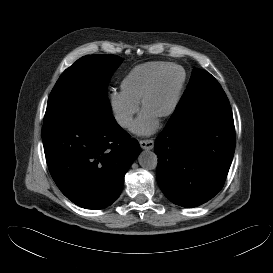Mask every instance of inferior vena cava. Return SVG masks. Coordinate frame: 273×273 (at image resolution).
I'll return each instance as SVG.
<instances>
[{"label":"inferior vena cava","instance_id":"inferior-vena-cava-1","mask_svg":"<svg viewBox=\"0 0 273 273\" xmlns=\"http://www.w3.org/2000/svg\"><path fill=\"white\" fill-rule=\"evenodd\" d=\"M116 120L122 128H129L132 124L131 118L125 115L117 116Z\"/></svg>","mask_w":273,"mask_h":273}]
</instances>
